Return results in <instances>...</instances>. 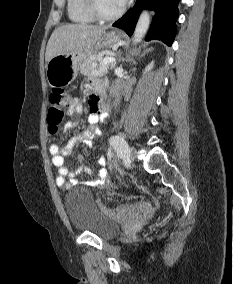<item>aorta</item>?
<instances>
[{"label":"aorta","mask_w":233,"mask_h":284,"mask_svg":"<svg viewBox=\"0 0 233 284\" xmlns=\"http://www.w3.org/2000/svg\"><path fill=\"white\" fill-rule=\"evenodd\" d=\"M150 25V15L147 11H143L138 19L134 34L133 44H138L144 38ZM118 100H115L114 106L117 107Z\"/></svg>","instance_id":"obj_1"}]
</instances>
